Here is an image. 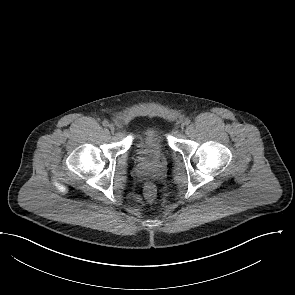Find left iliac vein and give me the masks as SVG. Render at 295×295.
I'll use <instances>...</instances> for the list:
<instances>
[{"label":"left iliac vein","instance_id":"4c4485c4","mask_svg":"<svg viewBox=\"0 0 295 295\" xmlns=\"http://www.w3.org/2000/svg\"><path fill=\"white\" fill-rule=\"evenodd\" d=\"M185 125V123H182L181 126L183 127Z\"/></svg>","mask_w":295,"mask_h":295}]
</instances>
